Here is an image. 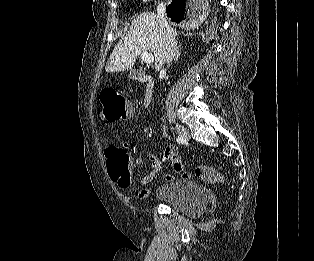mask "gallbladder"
Here are the masks:
<instances>
[{"label": "gallbladder", "instance_id": "1", "mask_svg": "<svg viewBox=\"0 0 314 261\" xmlns=\"http://www.w3.org/2000/svg\"><path fill=\"white\" fill-rule=\"evenodd\" d=\"M145 74L143 69H132L129 71L128 78L132 80H138Z\"/></svg>", "mask_w": 314, "mask_h": 261}]
</instances>
